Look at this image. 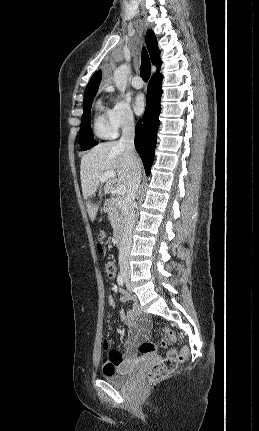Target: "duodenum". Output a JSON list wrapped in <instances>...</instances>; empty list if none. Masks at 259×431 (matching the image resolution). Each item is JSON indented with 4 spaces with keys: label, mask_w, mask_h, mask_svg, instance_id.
Masks as SVG:
<instances>
[{
    "label": "duodenum",
    "mask_w": 259,
    "mask_h": 431,
    "mask_svg": "<svg viewBox=\"0 0 259 431\" xmlns=\"http://www.w3.org/2000/svg\"><path fill=\"white\" fill-rule=\"evenodd\" d=\"M110 206H111V201H109V200L106 201L105 205H104V210L108 211L110 209ZM116 244L118 247L121 244V233L119 231L116 233Z\"/></svg>",
    "instance_id": "obj_1"
}]
</instances>
